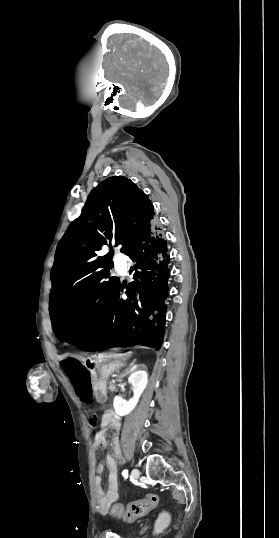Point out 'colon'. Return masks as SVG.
I'll list each match as a JSON object with an SVG mask.
<instances>
[{
  "instance_id": "colon-1",
  "label": "colon",
  "mask_w": 279,
  "mask_h": 538,
  "mask_svg": "<svg viewBox=\"0 0 279 538\" xmlns=\"http://www.w3.org/2000/svg\"><path fill=\"white\" fill-rule=\"evenodd\" d=\"M158 502V496L155 493L147 494L144 498L131 502L126 506L120 505V504H114L110 510L107 509H101L103 512H109L119 518L125 519V520H134L136 518L142 517L146 515L149 511H151ZM166 518L163 517L161 519V524L165 522Z\"/></svg>"
}]
</instances>
